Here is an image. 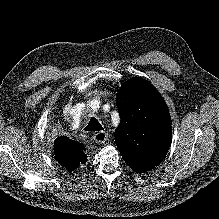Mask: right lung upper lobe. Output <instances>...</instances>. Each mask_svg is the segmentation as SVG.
Wrapping results in <instances>:
<instances>
[{
    "mask_svg": "<svg viewBox=\"0 0 219 219\" xmlns=\"http://www.w3.org/2000/svg\"><path fill=\"white\" fill-rule=\"evenodd\" d=\"M85 150L82 144L66 136H60L54 142V151L58 163L69 170H74L80 163L87 161Z\"/></svg>",
    "mask_w": 219,
    "mask_h": 219,
    "instance_id": "1",
    "label": "right lung upper lobe"
}]
</instances>
